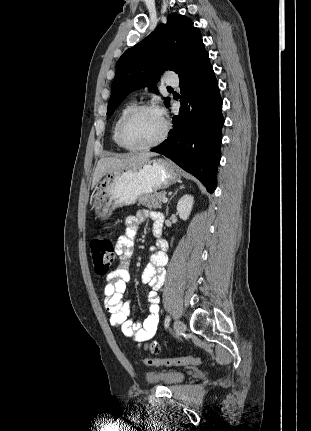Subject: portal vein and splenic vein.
<instances>
[{"mask_svg": "<svg viewBox=\"0 0 311 431\" xmlns=\"http://www.w3.org/2000/svg\"><path fill=\"white\" fill-rule=\"evenodd\" d=\"M161 202H163V204H166V202H168V198H162Z\"/></svg>", "mask_w": 311, "mask_h": 431, "instance_id": "1", "label": "portal vein and splenic vein"}]
</instances>
